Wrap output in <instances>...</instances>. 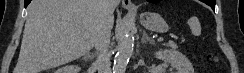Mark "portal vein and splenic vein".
I'll return each mask as SVG.
<instances>
[{"label":"portal vein and splenic vein","mask_w":244,"mask_h":73,"mask_svg":"<svg viewBox=\"0 0 244 73\" xmlns=\"http://www.w3.org/2000/svg\"><path fill=\"white\" fill-rule=\"evenodd\" d=\"M158 41H159V42L163 41V38H159Z\"/></svg>","instance_id":"portal-vein-and-splenic-vein-1"}]
</instances>
